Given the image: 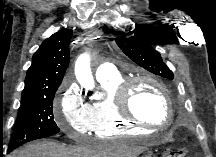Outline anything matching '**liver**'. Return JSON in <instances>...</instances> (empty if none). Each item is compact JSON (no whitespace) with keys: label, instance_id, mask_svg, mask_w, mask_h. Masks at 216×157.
<instances>
[{"label":"liver","instance_id":"6515ba94","mask_svg":"<svg viewBox=\"0 0 216 157\" xmlns=\"http://www.w3.org/2000/svg\"><path fill=\"white\" fill-rule=\"evenodd\" d=\"M142 151V147L125 142L66 147L57 142L42 141L16 150L10 157H137Z\"/></svg>","mask_w":216,"mask_h":157}]
</instances>
